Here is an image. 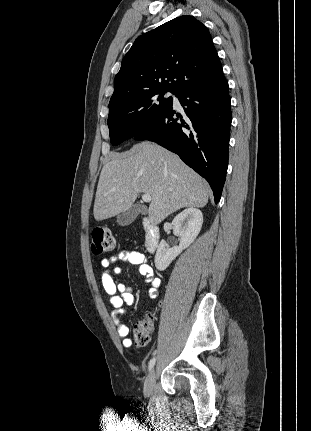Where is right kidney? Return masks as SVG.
I'll use <instances>...</instances> for the list:
<instances>
[{
    "label": "right kidney",
    "mask_w": 311,
    "mask_h": 431,
    "mask_svg": "<svg viewBox=\"0 0 311 431\" xmlns=\"http://www.w3.org/2000/svg\"><path fill=\"white\" fill-rule=\"evenodd\" d=\"M203 223V214L197 208H187L175 216L172 225L174 235H179L180 243L176 247H166L165 239H161L155 253V267L159 271L166 269L171 261L196 239Z\"/></svg>",
    "instance_id": "ca27d5eb"
}]
</instances>
